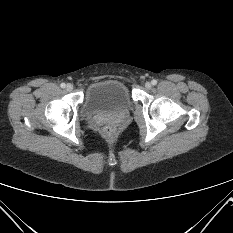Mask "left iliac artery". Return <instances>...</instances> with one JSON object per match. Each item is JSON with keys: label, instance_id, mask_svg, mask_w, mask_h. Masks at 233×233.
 Here are the masks:
<instances>
[{"label": "left iliac artery", "instance_id": "obj_1", "mask_svg": "<svg viewBox=\"0 0 233 233\" xmlns=\"http://www.w3.org/2000/svg\"><path fill=\"white\" fill-rule=\"evenodd\" d=\"M151 83H152V85H156V84H157V81H156L155 79H153V80L151 81Z\"/></svg>", "mask_w": 233, "mask_h": 233}]
</instances>
